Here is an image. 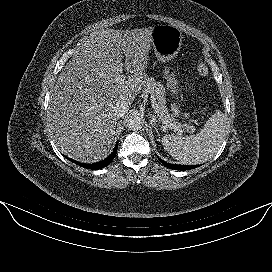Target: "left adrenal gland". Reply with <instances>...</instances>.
Returning a JSON list of instances; mask_svg holds the SVG:
<instances>
[{
  "instance_id": "obj_1",
  "label": "left adrenal gland",
  "mask_w": 272,
  "mask_h": 272,
  "mask_svg": "<svg viewBox=\"0 0 272 272\" xmlns=\"http://www.w3.org/2000/svg\"><path fill=\"white\" fill-rule=\"evenodd\" d=\"M153 127H154V128H155V130L157 131L158 136H159V138H160V133L158 132V129H157L156 123H153ZM158 141H160V139H159Z\"/></svg>"
}]
</instances>
